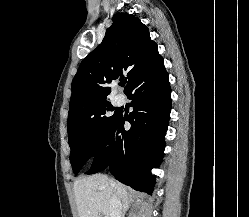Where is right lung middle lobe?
<instances>
[{"mask_svg":"<svg viewBox=\"0 0 249 217\" xmlns=\"http://www.w3.org/2000/svg\"><path fill=\"white\" fill-rule=\"evenodd\" d=\"M120 114L105 101L68 118L70 161L75 174L101 149Z\"/></svg>","mask_w":249,"mask_h":217,"instance_id":"obj_1","label":"right lung middle lobe"}]
</instances>
